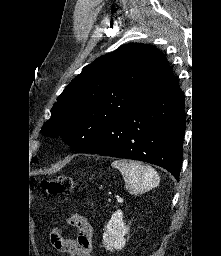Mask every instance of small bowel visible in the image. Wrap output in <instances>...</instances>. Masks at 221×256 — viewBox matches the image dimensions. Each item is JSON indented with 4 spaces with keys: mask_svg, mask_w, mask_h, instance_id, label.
Segmentation results:
<instances>
[{
    "mask_svg": "<svg viewBox=\"0 0 221 256\" xmlns=\"http://www.w3.org/2000/svg\"><path fill=\"white\" fill-rule=\"evenodd\" d=\"M70 223L79 229L77 239H63L57 232H54L52 234V243L68 256H92L93 232L89 222L82 216L74 215L70 218Z\"/></svg>",
    "mask_w": 221,
    "mask_h": 256,
    "instance_id": "c3829d8e",
    "label": "small bowel"
}]
</instances>
